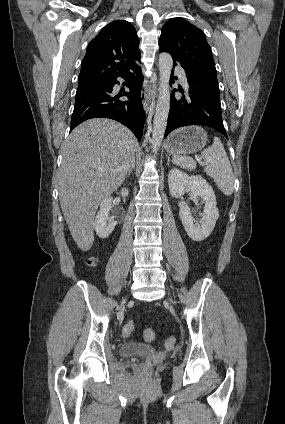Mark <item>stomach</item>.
Here are the masks:
<instances>
[{
  "instance_id": "0dacf381",
  "label": "stomach",
  "mask_w": 285,
  "mask_h": 424,
  "mask_svg": "<svg viewBox=\"0 0 285 424\" xmlns=\"http://www.w3.org/2000/svg\"><path fill=\"white\" fill-rule=\"evenodd\" d=\"M207 143V133L203 128L190 126L171 133L165 142V148L173 154L187 155L200 151Z\"/></svg>"
}]
</instances>
